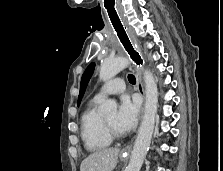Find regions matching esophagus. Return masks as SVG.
<instances>
[{
    "label": "esophagus",
    "instance_id": "esophagus-1",
    "mask_svg": "<svg viewBox=\"0 0 223 171\" xmlns=\"http://www.w3.org/2000/svg\"><path fill=\"white\" fill-rule=\"evenodd\" d=\"M109 15H110V21L112 22L111 28L113 29V31H116L118 39H120V41L125 47V50H127L130 55L129 59L133 60L134 62V69L137 78V89L144 101L145 92L141 76V70L145 64V61L141 53L140 47L137 45L135 41H133V38H131V34H129V31L126 30L125 21H123L121 13H111L110 11ZM131 147H132L131 144L126 146L125 148L122 149V152L129 153Z\"/></svg>",
    "mask_w": 223,
    "mask_h": 171
}]
</instances>
